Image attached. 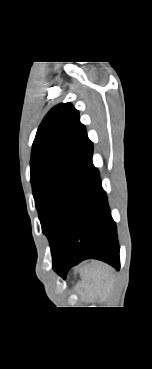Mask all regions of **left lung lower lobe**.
Instances as JSON below:
<instances>
[{"mask_svg":"<svg viewBox=\"0 0 152 369\" xmlns=\"http://www.w3.org/2000/svg\"><path fill=\"white\" fill-rule=\"evenodd\" d=\"M87 258L105 261L116 269L120 267L116 225L92 155L53 268L65 279L73 265Z\"/></svg>","mask_w":152,"mask_h":369,"instance_id":"obj_1","label":"left lung lower lobe"}]
</instances>
